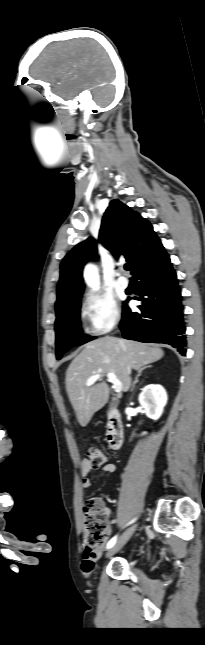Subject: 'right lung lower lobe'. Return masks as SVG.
Segmentation results:
<instances>
[{
    "label": "right lung lower lobe",
    "mask_w": 205,
    "mask_h": 645,
    "mask_svg": "<svg viewBox=\"0 0 205 645\" xmlns=\"http://www.w3.org/2000/svg\"><path fill=\"white\" fill-rule=\"evenodd\" d=\"M141 290L140 312L123 305L120 329L125 339L169 344L185 356L186 327L181 288L167 255L134 275ZM144 296H147L144 298Z\"/></svg>",
    "instance_id": "98d812e1"
}]
</instances>
